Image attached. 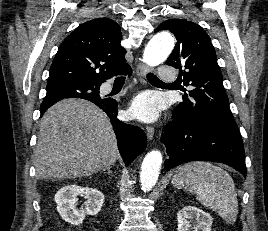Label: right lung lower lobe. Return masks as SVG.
I'll return each mask as SVG.
<instances>
[{
	"mask_svg": "<svg viewBox=\"0 0 268 231\" xmlns=\"http://www.w3.org/2000/svg\"><path fill=\"white\" fill-rule=\"evenodd\" d=\"M123 74L131 75L132 69L128 66ZM99 108H101L111 120L113 129L118 141V149L126 165L131 162L145 150L147 146L146 135L142 129L137 126L126 124L117 118V102L114 99L91 98L86 99ZM41 115L45 111H40Z\"/></svg>",
	"mask_w": 268,
	"mask_h": 231,
	"instance_id": "right-lung-lower-lobe-1",
	"label": "right lung lower lobe"
}]
</instances>
